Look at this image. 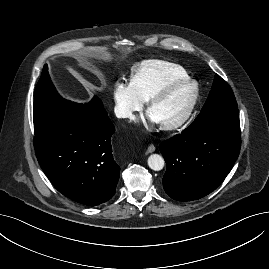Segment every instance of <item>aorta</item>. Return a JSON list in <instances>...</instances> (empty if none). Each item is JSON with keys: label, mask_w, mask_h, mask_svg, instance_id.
<instances>
[{"label": "aorta", "mask_w": 269, "mask_h": 269, "mask_svg": "<svg viewBox=\"0 0 269 269\" xmlns=\"http://www.w3.org/2000/svg\"><path fill=\"white\" fill-rule=\"evenodd\" d=\"M164 159L159 154H152L148 157V166L154 171H160L164 167Z\"/></svg>", "instance_id": "obj_1"}]
</instances>
